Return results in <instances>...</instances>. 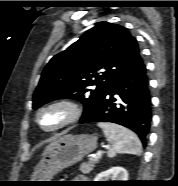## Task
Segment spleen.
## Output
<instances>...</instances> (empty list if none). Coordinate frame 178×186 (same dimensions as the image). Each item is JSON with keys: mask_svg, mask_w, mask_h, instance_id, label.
<instances>
[{"mask_svg": "<svg viewBox=\"0 0 178 186\" xmlns=\"http://www.w3.org/2000/svg\"><path fill=\"white\" fill-rule=\"evenodd\" d=\"M98 126L102 128L111 145L108 150V157L113 158L117 153L141 155L142 144L134 132L114 123L99 122Z\"/></svg>", "mask_w": 178, "mask_h": 186, "instance_id": "1", "label": "spleen"}]
</instances>
